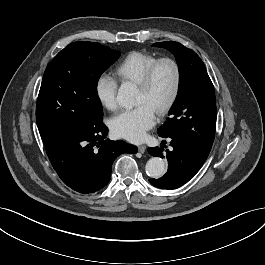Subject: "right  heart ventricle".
I'll return each mask as SVG.
<instances>
[{"label":"right heart ventricle","mask_w":265,"mask_h":265,"mask_svg":"<svg viewBox=\"0 0 265 265\" xmlns=\"http://www.w3.org/2000/svg\"><path fill=\"white\" fill-rule=\"evenodd\" d=\"M157 57L144 51L129 52L116 66L114 74L121 83L137 84L145 70Z\"/></svg>","instance_id":"e07e8e85"}]
</instances>
